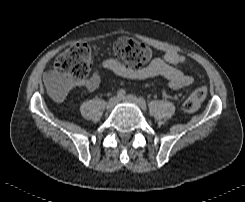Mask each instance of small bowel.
<instances>
[{"label":"small bowel","mask_w":245,"mask_h":202,"mask_svg":"<svg viewBox=\"0 0 245 202\" xmlns=\"http://www.w3.org/2000/svg\"><path fill=\"white\" fill-rule=\"evenodd\" d=\"M182 59L176 50H168L164 57H156L150 63L138 68H128L121 65L117 59L109 57L104 60L103 67L118 77L129 80H146L154 77H163L168 81L172 90H182L193 84V78L175 67ZM102 73L96 71L91 77L81 81H70L68 84L61 83L58 87L60 94L75 92L78 90H95L101 83ZM56 79L53 72L45 75V80Z\"/></svg>","instance_id":"c3829d8e"}]
</instances>
